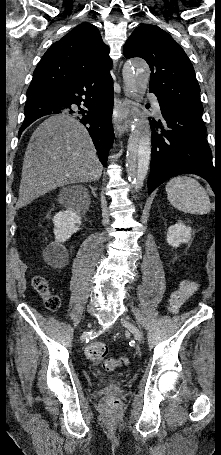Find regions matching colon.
<instances>
[{
  "label": "colon",
  "mask_w": 221,
  "mask_h": 455,
  "mask_svg": "<svg viewBox=\"0 0 221 455\" xmlns=\"http://www.w3.org/2000/svg\"><path fill=\"white\" fill-rule=\"evenodd\" d=\"M33 287L43 297V303L47 310L56 311L60 306V299L57 295L49 290V286L44 277L37 275L33 278ZM197 291V283L193 280H185L180 287L173 292L169 301V311L176 313L178 309ZM86 356L94 363L100 364L105 370L112 371L116 368L126 365V358H108L106 359L108 349L101 342L90 343L85 350ZM106 407L116 410L119 407L117 399L106 401Z\"/></svg>",
  "instance_id": "5ec220e1"
}]
</instances>
